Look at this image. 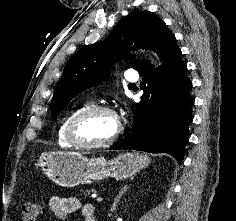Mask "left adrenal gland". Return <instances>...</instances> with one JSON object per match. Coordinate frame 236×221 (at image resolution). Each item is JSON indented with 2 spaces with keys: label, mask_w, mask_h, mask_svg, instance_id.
I'll return each mask as SVG.
<instances>
[{
  "label": "left adrenal gland",
  "mask_w": 236,
  "mask_h": 221,
  "mask_svg": "<svg viewBox=\"0 0 236 221\" xmlns=\"http://www.w3.org/2000/svg\"><path fill=\"white\" fill-rule=\"evenodd\" d=\"M128 188H129V185H124L123 187L120 188V191L118 195L115 197L114 202L112 204L111 212H114L116 210L117 204L120 201V198L122 197V195L126 192Z\"/></svg>",
  "instance_id": "obj_1"
}]
</instances>
